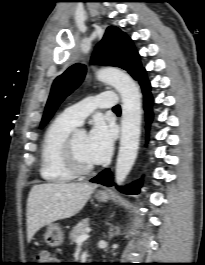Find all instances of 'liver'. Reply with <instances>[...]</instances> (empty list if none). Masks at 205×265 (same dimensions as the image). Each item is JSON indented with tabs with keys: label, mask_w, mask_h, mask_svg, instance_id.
<instances>
[{
	"label": "liver",
	"mask_w": 205,
	"mask_h": 265,
	"mask_svg": "<svg viewBox=\"0 0 205 265\" xmlns=\"http://www.w3.org/2000/svg\"><path fill=\"white\" fill-rule=\"evenodd\" d=\"M97 184L46 183L34 185L27 200V240L42 227L78 214Z\"/></svg>",
	"instance_id": "obj_1"
}]
</instances>
